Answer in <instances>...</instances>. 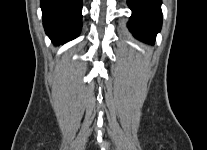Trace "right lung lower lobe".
<instances>
[{
  "mask_svg": "<svg viewBox=\"0 0 207 150\" xmlns=\"http://www.w3.org/2000/svg\"><path fill=\"white\" fill-rule=\"evenodd\" d=\"M43 26L54 44L76 38L82 27V0H40Z\"/></svg>",
  "mask_w": 207,
  "mask_h": 150,
  "instance_id": "right-lung-lower-lobe-1",
  "label": "right lung lower lobe"
}]
</instances>
